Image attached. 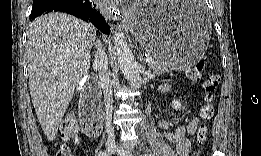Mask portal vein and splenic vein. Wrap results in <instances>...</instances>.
Segmentation results:
<instances>
[{"mask_svg":"<svg viewBox=\"0 0 261 156\" xmlns=\"http://www.w3.org/2000/svg\"><path fill=\"white\" fill-rule=\"evenodd\" d=\"M146 63H151L153 61V58L151 56H148L145 58Z\"/></svg>","mask_w":261,"mask_h":156,"instance_id":"portal-vein-and-splenic-vein-1","label":"portal vein and splenic vein"}]
</instances>
